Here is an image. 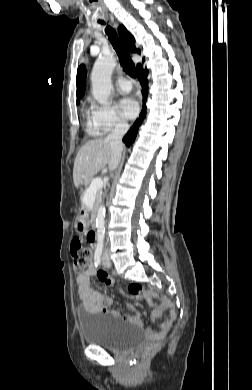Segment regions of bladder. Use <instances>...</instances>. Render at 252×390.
Listing matches in <instances>:
<instances>
[{
    "instance_id": "1",
    "label": "bladder",
    "mask_w": 252,
    "mask_h": 390,
    "mask_svg": "<svg viewBox=\"0 0 252 390\" xmlns=\"http://www.w3.org/2000/svg\"><path fill=\"white\" fill-rule=\"evenodd\" d=\"M78 320L83 340L114 351L129 350L137 346L144 337L143 329L133 323L92 316L79 311Z\"/></svg>"
}]
</instances>
